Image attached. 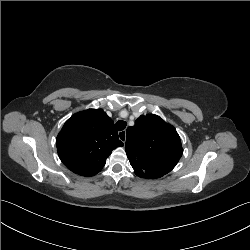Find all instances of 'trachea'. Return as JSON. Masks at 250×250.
Segmentation results:
<instances>
[{"instance_id": "obj_1", "label": "trachea", "mask_w": 250, "mask_h": 250, "mask_svg": "<svg viewBox=\"0 0 250 250\" xmlns=\"http://www.w3.org/2000/svg\"><path fill=\"white\" fill-rule=\"evenodd\" d=\"M126 125H127V123L125 121H123V120H119V121L116 122V128H117L118 131L124 130Z\"/></svg>"}]
</instances>
